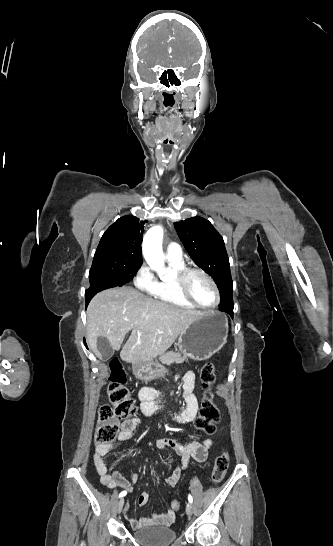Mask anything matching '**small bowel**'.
I'll return each mask as SVG.
<instances>
[{"label": "small bowel", "mask_w": 333, "mask_h": 546, "mask_svg": "<svg viewBox=\"0 0 333 546\" xmlns=\"http://www.w3.org/2000/svg\"><path fill=\"white\" fill-rule=\"evenodd\" d=\"M179 377V376H177ZM195 388V375L192 371H187L182 376V392L181 397L185 402L184 409L177 415L172 416L165 412L158 404L160 399V392L153 387H142L138 393V399L140 401V411L144 416H165L169 418L172 423L176 425H185L191 422L198 412V400L194 394ZM141 420L138 417L126 420L121 428L118 440L125 442L131 439L140 425ZM213 444L211 438L203 440V442L189 441L186 442L184 437H177L175 439L161 438L157 441V447L161 450L171 448L179 455L184 461V467L190 460L202 463L207 458V451ZM112 445H96L94 450V465L97 473L100 477V482L109 488L122 487L124 489L132 490V485L137 479V475H134L132 481L125 480L118 471H109L106 457L111 452ZM182 474V469L174 467L169 475H166L164 480L169 487H174ZM148 501V495L142 494L138 497L137 502L139 505H144ZM125 519L134 530L148 527V526H168L174 519V512L172 509L160 513L154 514L149 517H143L135 519L130 516L129 508L125 509Z\"/></svg>", "instance_id": "obj_1"}]
</instances>
